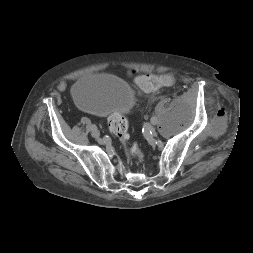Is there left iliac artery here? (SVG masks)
<instances>
[{
    "mask_svg": "<svg viewBox=\"0 0 253 253\" xmlns=\"http://www.w3.org/2000/svg\"><path fill=\"white\" fill-rule=\"evenodd\" d=\"M157 122H158L157 118H155V117L151 118V123L152 124H157Z\"/></svg>",
    "mask_w": 253,
    "mask_h": 253,
    "instance_id": "1",
    "label": "left iliac artery"
}]
</instances>
